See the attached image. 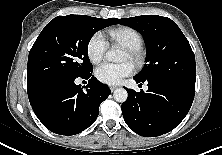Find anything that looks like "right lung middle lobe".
Here are the masks:
<instances>
[{"label":"right lung middle lobe","instance_id":"dd1d6c3e","mask_svg":"<svg viewBox=\"0 0 222 155\" xmlns=\"http://www.w3.org/2000/svg\"><path fill=\"white\" fill-rule=\"evenodd\" d=\"M114 24H117L116 18L55 17L42 30L29 52L28 85L48 88L91 72L88 43L98 30Z\"/></svg>","mask_w":222,"mask_h":155}]
</instances>
